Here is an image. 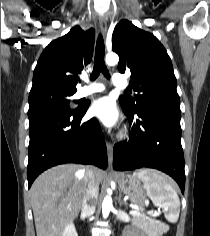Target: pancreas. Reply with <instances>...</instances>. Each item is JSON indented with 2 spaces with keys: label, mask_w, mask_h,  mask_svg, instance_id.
<instances>
[{
  "label": "pancreas",
  "mask_w": 210,
  "mask_h": 236,
  "mask_svg": "<svg viewBox=\"0 0 210 236\" xmlns=\"http://www.w3.org/2000/svg\"><path fill=\"white\" fill-rule=\"evenodd\" d=\"M132 224L145 229L150 234V236H158L159 227L157 221L143 213L133 215Z\"/></svg>",
  "instance_id": "1"
}]
</instances>
